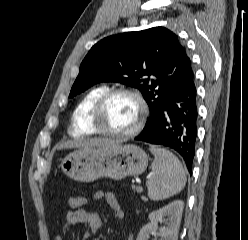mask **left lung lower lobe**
I'll use <instances>...</instances> for the list:
<instances>
[{"instance_id": "left-lung-lower-lobe-1", "label": "left lung lower lobe", "mask_w": 248, "mask_h": 240, "mask_svg": "<svg viewBox=\"0 0 248 240\" xmlns=\"http://www.w3.org/2000/svg\"><path fill=\"white\" fill-rule=\"evenodd\" d=\"M197 91L194 77L172 92L135 140L168 146L184 159L192 173L197 138Z\"/></svg>"}]
</instances>
